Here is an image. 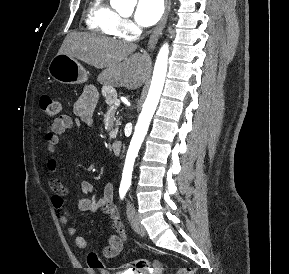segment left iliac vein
I'll return each mask as SVG.
<instances>
[{
	"instance_id": "1",
	"label": "left iliac vein",
	"mask_w": 289,
	"mask_h": 274,
	"mask_svg": "<svg viewBox=\"0 0 289 274\" xmlns=\"http://www.w3.org/2000/svg\"><path fill=\"white\" fill-rule=\"evenodd\" d=\"M127 215L134 231L140 234L141 236H144L146 234V230L144 226L140 223V220L138 218L135 209L130 204L127 205Z\"/></svg>"
}]
</instances>
